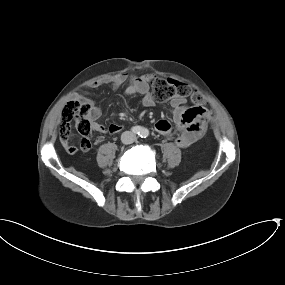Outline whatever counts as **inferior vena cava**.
<instances>
[{"instance_id": "602c4592", "label": "inferior vena cava", "mask_w": 285, "mask_h": 285, "mask_svg": "<svg viewBox=\"0 0 285 285\" xmlns=\"http://www.w3.org/2000/svg\"><path fill=\"white\" fill-rule=\"evenodd\" d=\"M121 140L124 144H131L136 140V135L131 131H125L121 135Z\"/></svg>"}]
</instances>
